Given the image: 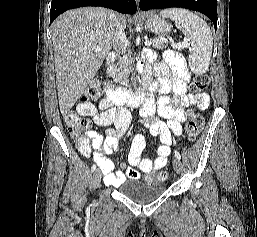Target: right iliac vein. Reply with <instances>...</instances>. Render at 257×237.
<instances>
[{
  "label": "right iliac vein",
  "mask_w": 257,
  "mask_h": 237,
  "mask_svg": "<svg viewBox=\"0 0 257 237\" xmlns=\"http://www.w3.org/2000/svg\"><path fill=\"white\" fill-rule=\"evenodd\" d=\"M101 177H102V173L99 169H97L94 174H93V178H92V184L94 188H97L98 185L100 184L101 181Z\"/></svg>",
  "instance_id": "obj_1"
}]
</instances>
